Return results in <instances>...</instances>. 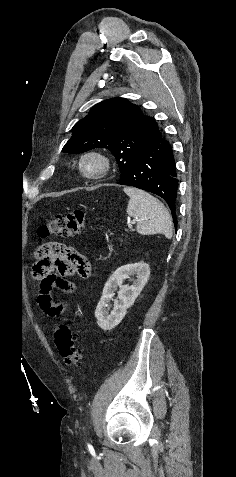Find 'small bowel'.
Wrapping results in <instances>:
<instances>
[{"label":"small bowel","mask_w":236,"mask_h":477,"mask_svg":"<svg viewBox=\"0 0 236 477\" xmlns=\"http://www.w3.org/2000/svg\"><path fill=\"white\" fill-rule=\"evenodd\" d=\"M48 245L57 249V254L49 255L43 259H38L34 266V276L40 281L37 303L41 311L51 319L60 317L67 309L66 303H56L53 299V290L59 289L63 293L72 294L76 287L67 285L62 278L72 276L76 273L82 277H89L91 267L87 259L81 255L75 248L62 243L51 242ZM84 257L85 264L89 268V274L81 272L80 262L76 256Z\"/></svg>","instance_id":"1"}]
</instances>
